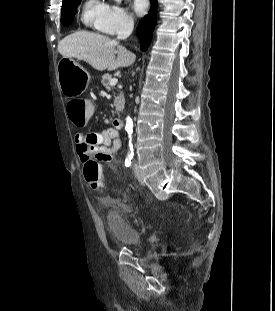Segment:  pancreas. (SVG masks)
I'll return each instance as SVG.
<instances>
[{"label":"pancreas","mask_w":275,"mask_h":311,"mask_svg":"<svg viewBox=\"0 0 275 311\" xmlns=\"http://www.w3.org/2000/svg\"><path fill=\"white\" fill-rule=\"evenodd\" d=\"M111 80H112V75H110V74L103 75L102 80H101L103 87L108 91L111 90V85H110ZM114 106L116 107L117 112H120L123 110V108H124V96L122 93L118 96H115Z\"/></svg>","instance_id":"obj_1"}]
</instances>
